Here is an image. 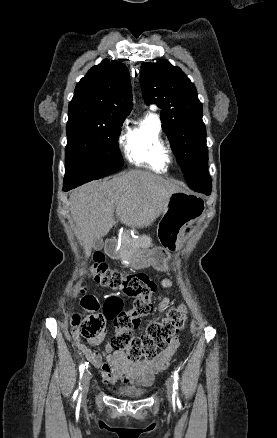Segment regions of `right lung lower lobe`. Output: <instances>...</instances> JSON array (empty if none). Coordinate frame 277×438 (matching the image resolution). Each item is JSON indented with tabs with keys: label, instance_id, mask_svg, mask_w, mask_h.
Here are the masks:
<instances>
[{
	"label": "right lung lower lobe",
	"instance_id": "obj_1",
	"mask_svg": "<svg viewBox=\"0 0 277 438\" xmlns=\"http://www.w3.org/2000/svg\"><path fill=\"white\" fill-rule=\"evenodd\" d=\"M75 187H77V186H75V185H64V186H63V190H64V191H68V190H70V189H72V188H75Z\"/></svg>",
	"mask_w": 277,
	"mask_h": 438
}]
</instances>
